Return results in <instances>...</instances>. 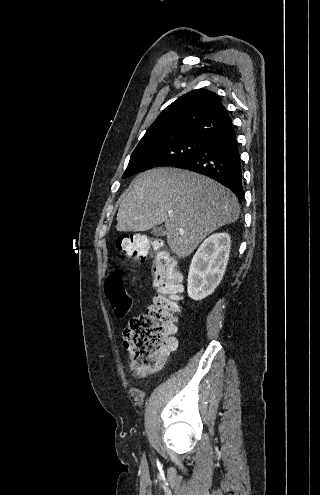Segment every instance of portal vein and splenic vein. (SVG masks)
Masks as SVG:
<instances>
[{"instance_id": "18ae733b", "label": "portal vein and splenic vein", "mask_w": 320, "mask_h": 495, "mask_svg": "<svg viewBox=\"0 0 320 495\" xmlns=\"http://www.w3.org/2000/svg\"><path fill=\"white\" fill-rule=\"evenodd\" d=\"M168 215H169V217H172L173 216V214L171 212H169Z\"/></svg>"}]
</instances>
